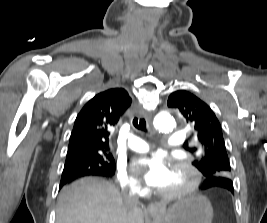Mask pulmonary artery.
Here are the masks:
<instances>
[{
	"label": "pulmonary artery",
	"instance_id": "e3ab8cb5",
	"mask_svg": "<svg viewBox=\"0 0 267 223\" xmlns=\"http://www.w3.org/2000/svg\"><path fill=\"white\" fill-rule=\"evenodd\" d=\"M184 136L181 134H172L168 137L167 144L171 147H179L184 143ZM128 146L131 150L136 152H146L149 150L150 145L144 139L136 135H130L128 138Z\"/></svg>",
	"mask_w": 267,
	"mask_h": 223
}]
</instances>
